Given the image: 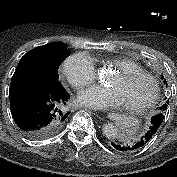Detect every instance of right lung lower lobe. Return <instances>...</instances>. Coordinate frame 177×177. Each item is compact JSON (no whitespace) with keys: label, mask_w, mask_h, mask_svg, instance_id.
Returning <instances> with one entry per match:
<instances>
[{"label":"right lung lower lobe","mask_w":177,"mask_h":177,"mask_svg":"<svg viewBox=\"0 0 177 177\" xmlns=\"http://www.w3.org/2000/svg\"><path fill=\"white\" fill-rule=\"evenodd\" d=\"M11 113L22 133L31 139H44L57 134L67 121L64 105L70 98L64 89L30 84L10 85Z\"/></svg>","instance_id":"right-lung-lower-lobe-1"}]
</instances>
